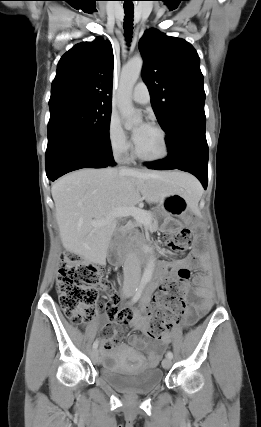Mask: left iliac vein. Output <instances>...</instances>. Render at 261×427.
Segmentation results:
<instances>
[{
	"instance_id": "1",
	"label": "left iliac vein",
	"mask_w": 261,
	"mask_h": 427,
	"mask_svg": "<svg viewBox=\"0 0 261 427\" xmlns=\"http://www.w3.org/2000/svg\"><path fill=\"white\" fill-rule=\"evenodd\" d=\"M171 365H172V361L170 358L166 357L163 359L162 366L164 369H169L171 367Z\"/></svg>"
}]
</instances>
